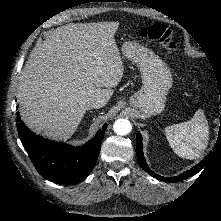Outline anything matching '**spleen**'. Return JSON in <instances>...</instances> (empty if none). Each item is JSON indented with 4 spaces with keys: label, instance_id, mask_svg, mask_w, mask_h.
<instances>
[{
    "label": "spleen",
    "instance_id": "spleen-1",
    "mask_svg": "<svg viewBox=\"0 0 221 221\" xmlns=\"http://www.w3.org/2000/svg\"><path fill=\"white\" fill-rule=\"evenodd\" d=\"M165 135L178 156L186 159L200 157L209 140V127L203 110H197L187 122L166 127Z\"/></svg>",
    "mask_w": 221,
    "mask_h": 221
}]
</instances>
